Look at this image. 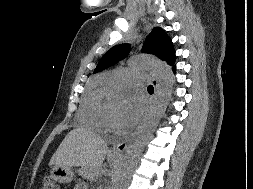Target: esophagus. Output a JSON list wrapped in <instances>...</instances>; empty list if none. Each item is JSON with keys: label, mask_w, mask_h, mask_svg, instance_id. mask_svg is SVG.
I'll list each match as a JSON object with an SVG mask.
<instances>
[{"label": "esophagus", "mask_w": 253, "mask_h": 189, "mask_svg": "<svg viewBox=\"0 0 253 189\" xmlns=\"http://www.w3.org/2000/svg\"><path fill=\"white\" fill-rule=\"evenodd\" d=\"M152 82L155 87V92L153 94L152 101L155 102L157 99V96H158V82H157L156 78H154V77L152 78ZM130 139H131V136L126 138L124 141L118 143L117 145H115L111 150V154L119 155V156L122 155L124 153V151L126 150Z\"/></svg>", "instance_id": "34e87169"}]
</instances>
